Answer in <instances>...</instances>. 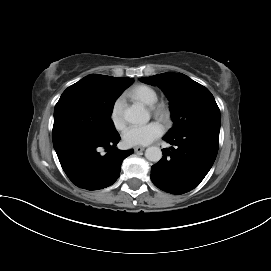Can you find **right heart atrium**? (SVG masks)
<instances>
[{"label": "right heart atrium", "mask_w": 271, "mask_h": 271, "mask_svg": "<svg viewBox=\"0 0 271 271\" xmlns=\"http://www.w3.org/2000/svg\"><path fill=\"white\" fill-rule=\"evenodd\" d=\"M123 107L124 99L122 96H120L114 101L110 112V119L117 129H122L125 123L123 117Z\"/></svg>", "instance_id": "right-heart-atrium-1"}]
</instances>
